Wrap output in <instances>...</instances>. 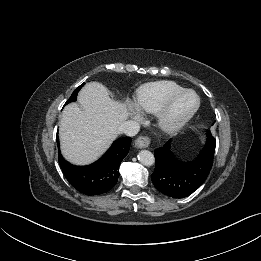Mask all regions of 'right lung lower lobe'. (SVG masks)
Returning <instances> with one entry per match:
<instances>
[{
    "label": "right lung lower lobe",
    "mask_w": 261,
    "mask_h": 261,
    "mask_svg": "<svg viewBox=\"0 0 261 261\" xmlns=\"http://www.w3.org/2000/svg\"><path fill=\"white\" fill-rule=\"evenodd\" d=\"M130 137L114 141L110 149L95 163L78 167L62 157L57 137L58 161L69 183L85 195H100L110 191L117 183L119 165L129 152Z\"/></svg>",
    "instance_id": "right-lung-lower-lobe-1"
}]
</instances>
